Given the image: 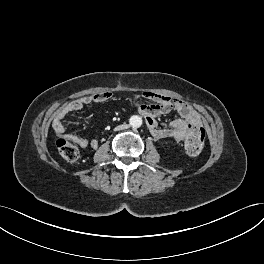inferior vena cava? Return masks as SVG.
I'll return each instance as SVG.
<instances>
[{"label":"inferior vena cava","mask_w":264,"mask_h":264,"mask_svg":"<svg viewBox=\"0 0 264 264\" xmlns=\"http://www.w3.org/2000/svg\"><path fill=\"white\" fill-rule=\"evenodd\" d=\"M129 128V125L128 124H124V125H119V126H116L115 127V130L116 131H121V130H126Z\"/></svg>","instance_id":"1"}]
</instances>
